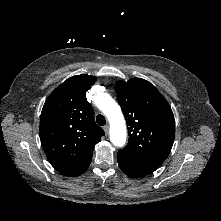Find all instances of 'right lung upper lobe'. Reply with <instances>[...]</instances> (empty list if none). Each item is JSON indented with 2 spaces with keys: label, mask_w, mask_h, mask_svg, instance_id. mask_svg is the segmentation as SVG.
<instances>
[{
  "label": "right lung upper lobe",
  "mask_w": 221,
  "mask_h": 221,
  "mask_svg": "<svg viewBox=\"0 0 221 221\" xmlns=\"http://www.w3.org/2000/svg\"><path fill=\"white\" fill-rule=\"evenodd\" d=\"M95 81L85 74L68 78L51 93L41 112V144L51 165L66 176H79L89 167L94 145L104 135L85 97Z\"/></svg>",
  "instance_id": "right-lung-upper-lobe-1"
}]
</instances>
